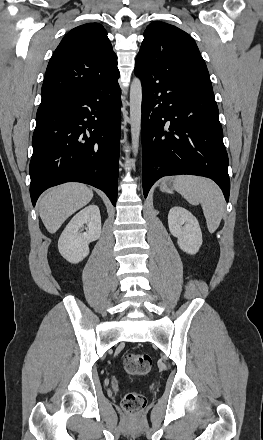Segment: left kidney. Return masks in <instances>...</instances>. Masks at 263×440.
Listing matches in <instances>:
<instances>
[{
	"instance_id": "obj_1",
	"label": "left kidney",
	"mask_w": 263,
	"mask_h": 440,
	"mask_svg": "<svg viewBox=\"0 0 263 440\" xmlns=\"http://www.w3.org/2000/svg\"><path fill=\"white\" fill-rule=\"evenodd\" d=\"M170 233L176 237L181 250L194 255L202 245V233L197 219L183 207H172L168 214Z\"/></svg>"
}]
</instances>
